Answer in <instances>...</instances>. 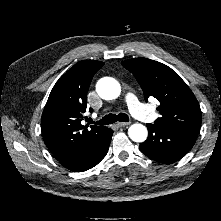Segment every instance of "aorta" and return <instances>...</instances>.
<instances>
[{
  "instance_id": "aorta-1",
  "label": "aorta",
  "mask_w": 221,
  "mask_h": 221,
  "mask_svg": "<svg viewBox=\"0 0 221 221\" xmlns=\"http://www.w3.org/2000/svg\"><path fill=\"white\" fill-rule=\"evenodd\" d=\"M98 95L105 100L116 99L121 92V86L117 80L110 77L100 79L96 84ZM128 135L135 142H144L147 139V128L142 124H133L128 129Z\"/></svg>"
}]
</instances>
